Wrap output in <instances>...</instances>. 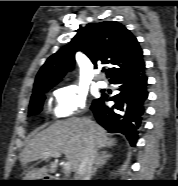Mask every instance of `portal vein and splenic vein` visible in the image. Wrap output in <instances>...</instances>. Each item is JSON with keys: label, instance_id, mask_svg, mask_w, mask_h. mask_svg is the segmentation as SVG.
Masks as SVG:
<instances>
[{"label": "portal vein and splenic vein", "instance_id": "obj_1", "mask_svg": "<svg viewBox=\"0 0 178 186\" xmlns=\"http://www.w3.org/2000/svg\"><path fill=\"white\" fill-rule=\"evenodd\" d=\"M45 156L59 158L61 157V153L60 152H49V153H46ZM63 169H64V173L68 175L71 172V164L69 162H65Z\"/></svg>", "mask_w": 178, "mask_h": 186}]
</instances>
